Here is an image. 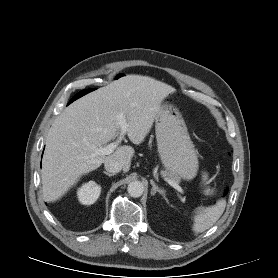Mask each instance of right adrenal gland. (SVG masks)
<instances>
[{"instance_id":"2a0ac1e0","label":"right adrenal gland","mask_w":278,"mask_h":278,"mask_svg":"<svg viewBox=\"0 0 278 278\" xmlns=\"http://www.w3.org/2000/svg\"><path fill=\"white\" fill-rule=\"evenodd\" d=\"M103 173H104L105 175L109 176V177H112V176L115 175V174H112V173H108V172H106V171H103Z\"/></svg>"}]
</instances>
